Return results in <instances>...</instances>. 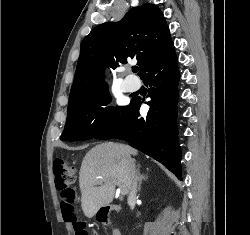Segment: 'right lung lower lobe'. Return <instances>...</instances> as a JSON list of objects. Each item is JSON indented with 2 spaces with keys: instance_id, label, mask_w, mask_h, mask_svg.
Segmentation results:
<instances>
[{
  "instance_id": "1",
  "label": "right lung lower lobe",
  "mask_w": 250,
  "mask_h": 235,
  "mask_svg": "<svg viewBox=\"0 0 250 235\" xmlns=\"http://www.w3.org/2000/svg\"><path fill=\"white\" fill-rule=\"evenodd\" d=\"M141 78L150 86V100L145 102L150 106L147 116H140L142 101L132 99L96 139H125L132 147L161 162L181 179V152L176 125L180 74L173 43Z\"/></svg>"
}]
</instances>
